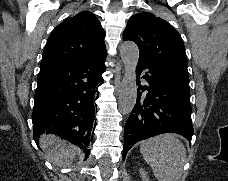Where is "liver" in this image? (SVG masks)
Instances as JSON below:
<instances>
[{"label": "liver", "instance_id": "obj_1", "mask_svg": "<svg viewBox=\"0 0 228 181\" xmlns=\"http://www.w3.org/2000/svg\"><path fill=\"white\" fill-rule=\"evenodd\" d=\"M39 143L51 163L59 165V167H64L66 163H69L71 157L77 151L75 145H71L68 141H61L55 135H41Z\"/></svg>", "mask_w": 228, "mask_h": 181}]
</instances>
